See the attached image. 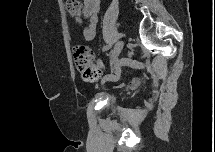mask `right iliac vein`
<instances>
[{"label":"right iliac vein","instance_id":"1","mask_svg":"<svg viewBox=\"0 0 215 152\" xmlns=\"http://www.w3.org/2000/svg\"><path fill=\"white\" fill-rule=\"evenodd\" d=\"M123 46H124V42L123 41H119L112 54H111V57H110V65H113L115 64V62L117 61L118 57H119V54L121 53L122 49H123Z\"/></svg>","mask_w":215,"mask_h":152}]
</instances>
